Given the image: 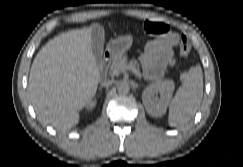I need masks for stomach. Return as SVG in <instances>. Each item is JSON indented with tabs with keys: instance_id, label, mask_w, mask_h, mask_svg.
I'll use <instances>...</instances> for the list:
<instances>
[{
	"instance_id": "0dacf381",
	"label": "stomach",
	"mask_w": 243,
	"mask_h": 167,
	"mask_svg": "<svg viewBox=\"0 0 243 167\" xmlns=\"http://www.w3.org/2000/svg\"><path fill=\"white\" fill-rule=\"evenodd\" d=\"M133 43L131 35H125L111 40L107 45V52L110 57H117L130 49Z\"/></svg>"
}]
</instances>
